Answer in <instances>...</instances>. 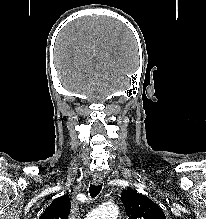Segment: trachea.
Returning <instances> with one entry per match:
<instances>
[{
	"instance_id": "trachea-1",
	"label": "trachea",
	"mask_w": 206,
	"mask_h": 219,
	"mask_svg": "<svg viewBox=\"0 0 206 219\" xmlns=\"http://www.w3.org/2000/svg\"><path fill=\"white\" fill-rule=\"evenodd\" d=\"M101 189H102V184H98V185L91 184L89 187V194L91 198H95L100 193Z\"/></svg>"
}]
</instances>
